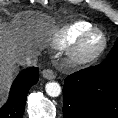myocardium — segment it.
<instances>
[{"label": "myocardium", "instance_id": "myocardium-1", "mask_svg": "<svg viewBox=\"0 0 118 118\" xmlns=\"http://www.w3.org/2000/svg\"><path fill=\"white\" fill-rule=\"evenodd\" d=\"M99 36L101 38V44L93 51H88L86 45L88 41L94 37ZM108 45V39L106 34L99 28H92L84 32L77 41L73 44V47L69 53V62L74 66H84L97 61L105 52Z\"/></svg>", "mask_w": 118, "mask_h": 118}]
</instances>
